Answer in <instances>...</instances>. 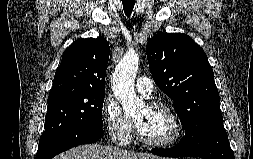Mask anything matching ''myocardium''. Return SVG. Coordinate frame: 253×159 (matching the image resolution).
Wrapping results in <instances>:
<instances>
[{"label":"myocardium","instance_id":"myocardium-1","mask_svg":"<svg viewBox=\"0 0 253 159\" xmlns=\"http://www.w3.org/2000/svg\"><path fill=\"white\" fill-rule=\"evenodd\" d=\"M148 106L150 108L162 109L170 115L174 124V133L170 138L165 139V140H159V141L149 140L142 134V132L140 131L136 123V134H137L138 140L146 146L158 147V148L169 147L177 143L183 135V124L180 117L176 113V111L168 104L159 102V101L152 102Z\"/></svg>","mask_w":253,"mask_h":159}]
</instances>
